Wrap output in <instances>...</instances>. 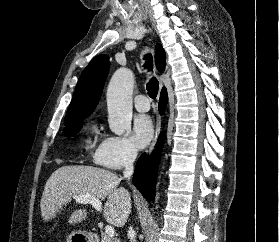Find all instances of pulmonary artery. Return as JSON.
<instances>
[{
  "label": "pulmonary artery",
  "mask_w": 279,
  "mask_h": 242,
  "mask_svg": "<svg viewBox=\"0 0 279 242\" xmlns=\"http://www.w3.org/2000/svg\"><path fill=\"white\" fill-rule=\"evenodd\" d=\"M134 105L139 112H146L150 109L149 99L143 94L135 97Z\"/></svg>",
  "instance_id": "1"
}]
</instances>
